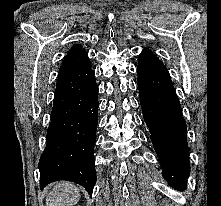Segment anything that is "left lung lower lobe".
<instances>
[{
  "label": "left lung lower lobe",
  "instance_id": "left-lung-lower-lobe-1",
  "mask_svg": "<svg viewBox=\"0 0 221 206\" xmlns=\"http://www.w3.org/2000/svg\"><path fill=\"white\" fill-rule=\"evenodd\" d=\"M143 117L158 154L163 176L183 190L189 176L187 129L169 74L137 69Z\"/></svg>",
  "mask_w": 221,
  "mask_h": 206
}]
</instances>
